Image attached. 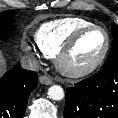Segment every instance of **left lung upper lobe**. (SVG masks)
Wrapping results in <instances>:
<instances>
[{"label": "left lung upper lobe", "mask_w": 118, "mask_h": 118, "mask_svg": "<svg viewBox=\"0 0 118 118\" xmlns=\"http://www.w3.org/2000/svg\"><path fill=\"white\" fill-rule=\"evenodd\" d=\"M112 34L114 36V40L112 43L111 52L105 61L103 68L118 64V26L115 23H112Z\"/></svg>", "instance_id": "1"}]
</instances>
